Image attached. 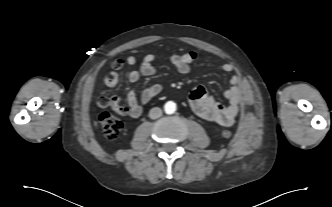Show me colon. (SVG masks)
<instances>
[{
	"instance_id": "colon-1",
	"label": "colon",
	"mask_w": 332,
	"mask_h": 207,
	"mask_svg": "<svg viewBox=\"0 0 332 207\" xmlns=\"http://www.w3.org/2000/svg\"><path fill=\"white\" fill-rule=\"evenodd\" d=\"M124 62L125 60L118 59L113 63V67L120 69L124 65ZM97 104L102 109L99 118L103 125L105 136L108 139H116L123 129V123L105 109L110 107L119 114H124L126 109L120 105V99L117 96L109 97L103 90L98 95ZM221 135L223 138L229 139L232 133L230 130H223Z\"/></svg>"
}]
</instances>
